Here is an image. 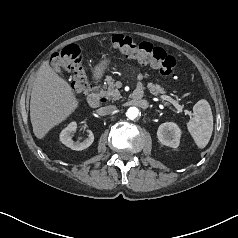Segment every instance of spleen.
Here are the masks:
<instances>
[{
  "label": "spleen",
  "instance_id": "spleen-1",
  "mask_svg": "<svg viewBox=\"0 0 238 238\" xmlns=\"http://www.w3.org/2000/svg\"><path fill=\"white\" fill-rule=\"evenodd\" d=\"M193 118L187 122V130L199 148H204L213 132V115L207 100H199L193 107Z\"/></svg>",
  "mask_w": 238,
  "mask_h": 238
}]
</instances>
